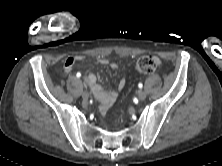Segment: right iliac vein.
<instances>
[{
  "instance_id": "63e3f726",
  "label": "right iliac vein",
  "mask_w": 222,
  "mask_h": 166,
  "mask_svg": "<svg viewBox=\"0 0 222 166\" xmlns=\"http://www.w3.org/2000/svg\"><path fill=\"white\" fill-rule=\"evenodd\" d=\"M82 98H83L84 100H88V98H89V93H88V92H83V93H82Z\"/></svg>"
}]
</instances>
